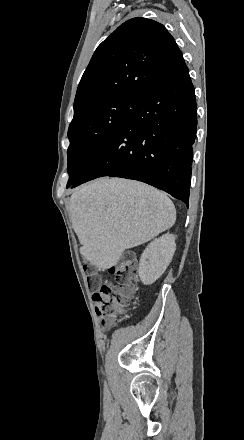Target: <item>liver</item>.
<instances>
[{
	"label": "liver",
	"instance_id": "obj_1",
	"mask_svg": "<svg viewBox=\"0 0 244 440\" xmlns=\"http://www.w3.org/2000/svg\"><path fill=\"white\" fill-rule=\"evenodd\" d=\"M69 210L82 256L101 270L116 266L124 250L149 242L176 220L165 192L123 178H98L80 186Z\"/></svg>",
	"mask_w": 244,
	"mask_h": 440
}]
</instances>
